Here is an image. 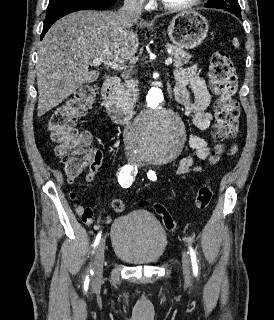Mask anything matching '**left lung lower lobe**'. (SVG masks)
<instances>
[{"label":"left lung lower lobe","mask_w":274,"mask_h":320,"mask_svg":"<svg viewBox=\"0 0 274 320\" xmlns=\"http://www.w3.org/2000/svg\"><path fill=\"white\" fill-rule=\"evenodd\" d=\"M233 14H235L239 19H241V13L240 12H235Z\"/></svg>","instance_id":"obj_1"}]
</instances>
